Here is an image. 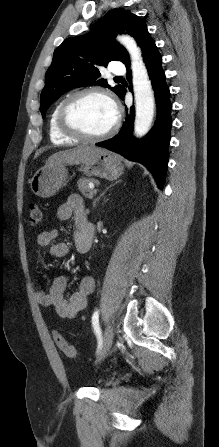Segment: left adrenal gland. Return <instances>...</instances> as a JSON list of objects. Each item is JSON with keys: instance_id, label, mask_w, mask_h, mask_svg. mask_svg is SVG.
Instances as JSON below:
<instances>
[{"instance_id": "obj_1", "label": "left adrenal gland", "mask_w": 219, "mask_h": 447, "mask_svg": "<svg viewBox=\"0 0 219 447\" xmlns=\"http://www.w3.org/2000/svg\"><path fill=\"white\" fill-rule=\"evenodd\" d=\"M122 182V180H118L116 181L114 184H111L109 187H107L104 192L102 194H100L99 197H97L94 201H93V207H96V204L99 202V200L104 196V194L113 186H115L116 184Z\"/></svg>"}]
</instances>
